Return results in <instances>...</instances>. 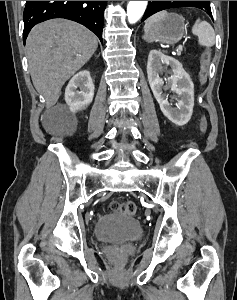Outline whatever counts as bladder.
Returning <instances> with one entry per match:
<instances>
[{"label": "bladder", "mask_w": 237, "mask_h": 300, "mask_svg": "<svg viewBox=\"0 0 237 300\" xmlns=\"http://www.w3.org/2000/svg\"><path fill=\"white\" fill-rule=\"evenodd\" d=\"M142 226L131 216L110 212L98 218L93 235L100 242H124L142 237Z\"/></svg>", "instance_id": "1"}]
</instances>
